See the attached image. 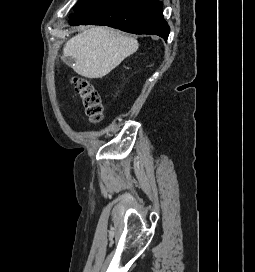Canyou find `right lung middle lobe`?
Instances as JSON below:
<instances>
[{
	"label": "right lung middle lobe",
	"mask_w": 255,
	"mask_h": 272,
	"mask_svg": "<svg viewBox=\"0 0 255 272\" xmlns=\"http://www.w3.org/2000/svg\"><path fill=\"white\" fill-rule=\"evenodd\" d=\"M89 1L90 0H79L78 4H76V6L74 7V11H78L84 4L88 3Z\"/></svg>",
	"instance_id": "dd1d6c3e"
}]
</instances>
